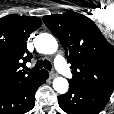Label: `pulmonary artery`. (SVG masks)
<instances>
[{
    "label": "pulmonary artery",
    "instance_id": "e3ab8cb5",
    "mask_svg": "<svg viewBox=\"0 0 114 114\" xmlns=\"http://www.w3.org/2000/svg\"><path fill=\"white\" fill-rule=\"evenodd\" d=\"M54 62H55V66H56L57 70L61 74H63L64 76H66L68 78H70L72 76L71 71H70L67 63H66L65 59L62 56L58 55L55 58Z\"/></svg>",
    "mask_w": 114,
    "mask_h": 114
}]
</instances>
